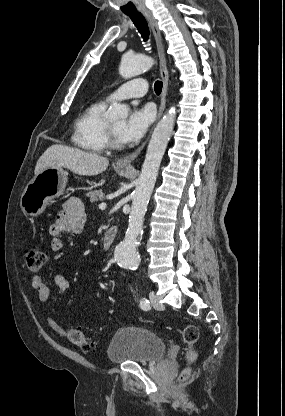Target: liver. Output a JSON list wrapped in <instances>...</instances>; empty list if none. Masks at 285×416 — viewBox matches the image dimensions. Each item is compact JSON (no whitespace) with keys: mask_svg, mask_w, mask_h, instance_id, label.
<instances>
[{"mask_svg":"<svg viewBox=\"0 0 285 416\" xmlns=\"http://www.w3.org/2000/svg\"><path fill=\"white\" fill-rule=\"evenodd\" d=\"M109 166L108 158L92 152H83L69 146H50L39 158L34 174L38 176L47 168H67L78 176H98Z\"/></svg>","mask_w":285,"mask_h":416,"instance_id":"1","label":"liver"}]
</instances>
